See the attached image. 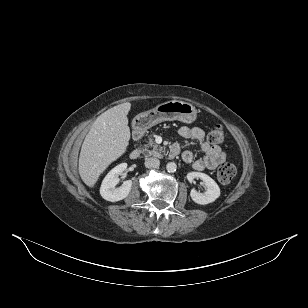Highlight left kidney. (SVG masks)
<instances>
[{"instance_id": "1", "label": "left kidney", "mask_w": 308, "mask_h": 308, "mask_svg": "<svg viewBox=\"0 0 308 308\" xmlns=\"http://www.w3.org/2000/svg\"><path fill=\"white\" fill-rule=\"evenodd\" d=\"M195 178L203 180L207 190L204 193L192 189L190 192L191 199L200 205H206L214 202L220 196V188L217 183L207 174L201 172H189L187 179L192 182Z\"/></svg>"}]
</instances>
